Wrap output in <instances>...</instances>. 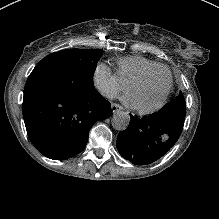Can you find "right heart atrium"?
<instances>
[{
  "instance_id": "obj_1",
  "label": "right heart atrium",
  "mask_w": 219,
  "mask_h": 219,
  "mask_svg": "<svg viewBox=\"0 0 219 219\" xmlns=\"http://www.w3.org/2000/svg\"><path fill=\"white\" fill-rule=\"evenodd\" d=\"M97 88L107 97L113 98L123 90V85L111 69L105 64H98L93 72Z\"/></svg>"
}]
</instances>
